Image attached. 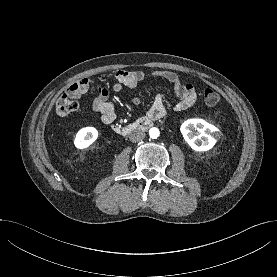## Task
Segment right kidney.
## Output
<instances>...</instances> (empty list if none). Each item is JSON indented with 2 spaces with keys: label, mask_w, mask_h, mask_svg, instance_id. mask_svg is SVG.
<instances>
[{
  "label": "right kidney",
  "mask_w": 277,
  "mask_h": 277,
  "mask_svg": "<svg viewBox=\"0 0 277 277\" xmlns=\"http://www.w3.org/2000/svg\"><path fill=\"white\" fill-rule=\"evenodd\" d=\"M98 137V131L94 127H85L78 131L74 144L78 149H85L91 145Z\"/></svg>",
  "instance_id": "ca27d5eb"
}]
</instances>
